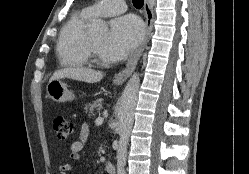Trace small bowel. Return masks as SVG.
Wrapping results in <instances>:
<instances>
[{"instance_id": "obj_1", "label": "small bowel", "mask_w": 249, "mask_h": 174, "mask_svg": "<svg viewBox=\"0 0 249 174\" xmlns=\"http://www.w3.org/2000/svg\"><path fill=\"white\" fill-rule=\"evenodd\" d=\"M88 127L84 125L80 132V139L73 142L69 147L68 156L72 160H79L80 153L83 151L85 142L88 137ZM71 167L69 164H62L59 167V174H69Z\"/></svg>"}]
</instances>
